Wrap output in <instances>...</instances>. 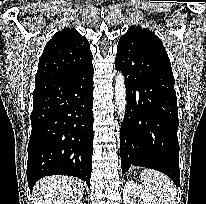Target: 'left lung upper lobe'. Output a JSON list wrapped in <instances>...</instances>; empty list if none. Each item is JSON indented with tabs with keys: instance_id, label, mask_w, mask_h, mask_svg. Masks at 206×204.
<instances>
[{
	"instance_id": "1",
	"label": "left lung upper lobe",
	"mask_w": 206,
	"mask_h": 204,
	"mask_svg": "<svg viewBox=\"0 0 206 204\" xmlns=\"http://www.w3.org/2000/svg\"><path fill=\"white\" fill-rule=\"evenodd\" d=\"M116 57L134 69L142 62L156 63L172 71L170 60L162 41L147 28L132 25L120 38Z\"/></svg>"
}]
</instances>
